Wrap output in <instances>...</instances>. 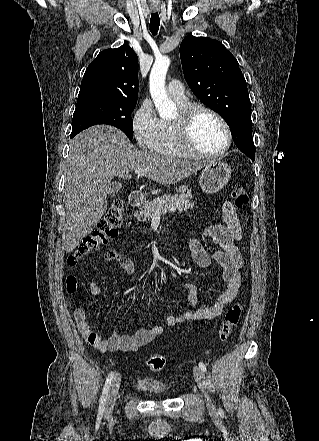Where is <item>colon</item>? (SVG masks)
I'll return each instance as SVG.
<instances>
[{
	"label": "colon",
	"mask_w": 319,
	"mask_h": 441,
	"mask_svg": "<svg viewBox=\"0 0 319 441\" xmlns=\"http://www.w3.org/2000/svg\"><path fill=\"white\" fill-rule=\"evenodd\" d=\"M231 197L235 205L240 209L244 208L249 201L248 193L238 185L233 187ZM122 214V200L115 199L94 231L83 240L73 254L69 255L67 259L68 265L74 267L83 256L99 250L102 246L106 245L110 239L114 238L121 224ZM66 287L69 293L76 291L77 281L74 276L69 275L67 277ZM242 313L243 305L240 303L234 304L227 310L224 321L218 329V338L220 341L224 342L231 336L240 321ZM147 365L151 371L158 372L164 367V359L160 355H151L147 360Z\"/></svg>",
	"instance_id": "obj_1"
}]
</instances>
